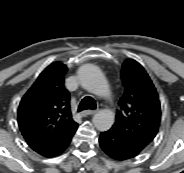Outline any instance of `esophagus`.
I'll return each instance as SVG.
<instances>
[{"label":"esophagus","instance_id":"esophagus-1","mask_svg":"<svg viewBox=\"0 0 184 173\" xmlns=\"http://www.w3.org/2000/svg\"><path fill=\"white\" fill-rule=\"evenodd\" d=\"M98 110H85L81 112L82 117H86L88 115H94L97 113Z\"/></svg>","mask_w":184,"mask_h":173}]
</instances>
